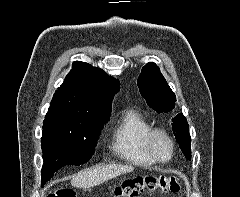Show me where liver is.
Wrapping results in <instances>:
<instances>
[{"mask_svg": "<svg viewBox=\"0 0 240 197\" xmlns=\"http://www.w3.org/2000/svg\"><path fill=\"white\" fill-rule=\"evenodd\" d=\"M134 170L133 166L129 165H106L98 166L80 171L72 176L71 185L76 188H91L97 186L111 178L124 173H129Z\"/></svg>", "mask_w": 240, "mask_h": 197, "instance_id": "6515ba94", "label": "liver"}]
</instances>
